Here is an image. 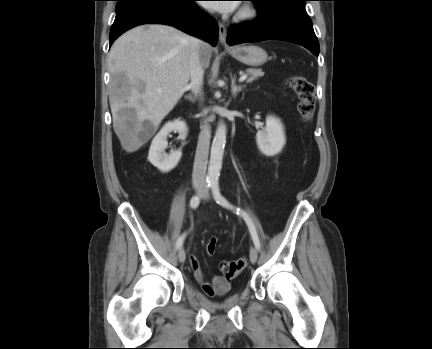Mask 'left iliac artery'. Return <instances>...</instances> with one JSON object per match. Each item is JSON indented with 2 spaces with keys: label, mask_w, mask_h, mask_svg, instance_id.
<instances>
[{
  "label": "left iliac artery",
  "mask_w": 432,
  "mask_h": 349,
  "mask_svg": "<svg viewBox=\"0 0 432 349\" xmlns=\"http://www.w3.org/2000/svg\"><path fill=\"white\" fill-rule=\"evenodd\" d=\"M211 189H212V194L213 197L215 199V201L220 204L221 206L225 207V208H229V209H234L236 211L237 214H240L243 219L245 220L248 229L250 231L253 243L256 247L257 250H260L261 245H260V241L256 232V228L254 226V223L252 221V219L250 218V216L243 210H241L240 208H234V206H232L228 200L221 194L220 192V188H219V183L217 181L213 182L211 185Z\"/></svg>",
  "instance_id": "left-iliac-artery-1"
}]
</instances>
